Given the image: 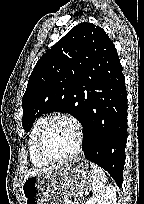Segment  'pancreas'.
I'll use <instances>...</instances> for the list:
<instances>
[{"mask_svg": "<svg viewBox=\"0 0 144 204\" xmlns=\"http://www.w3.org/2000/svg\"><path fill=\"white\" fill-rule=\"evenodd\" d=\"M67 204H75V202L72 200H69V201H67Z\"/></svg>", "mask_w": 144, "mask_h": 204, "instance_id": "pancreas-1", "label": "pancreas"}]
</instances>
